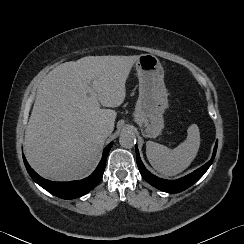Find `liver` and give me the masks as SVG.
<instances>
[{"label": "liver", "instance_id": "6515ba94", "mask_svg": "<svg viewBox=\"0 0 244 244\" xmlns=\"http://www.w3.org/2000/svg\"><path fill=\"white\" fill-rule=\"evenodd\" d=\"M139 56H87L60 64L42 81L25 131L32 168L54 181L87 177L95 169L115 110L126 96L125 83ZM90 87L95 95L87 92Z\"/></svg>", "mask_w": 244, "mask_h": 244}]
</instances>
